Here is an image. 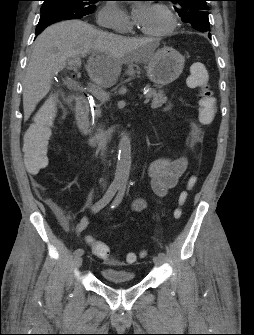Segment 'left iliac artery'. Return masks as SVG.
Listing matches in <instances>:
<instances>
[{"instance_id":"left-iliac-artery-1","label":"left iliac artery","mask_w":254,"mask_h":335,"mask_svg":"<svg viewBox=\"0 0 254 335\" xmlns=\"http://www.w3.org/2000/svg\"><path fill=\"white\" fill-rule=\"evenodd\" d=\"M125 188H126L125 184H121L119 186V192H118L116 198L114 199V201L111 204V208L112 209L116 208L121 203V201L123 199V196L125 194ZM158 256L160 258L164 259L166 255H165V253L163 251H159L158 252Z\"/></svg>"}]
</instances>
